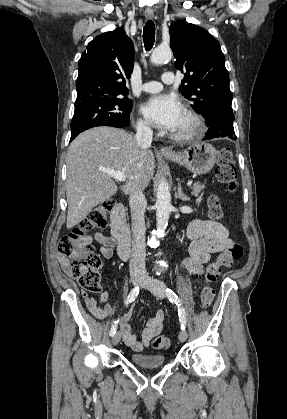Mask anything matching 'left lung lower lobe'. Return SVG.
<instances>
[{
    "mask_svg": "<svg viewBox=\"0 0 287 419\" xmlns=\"http://www.w3.org/2000/svg\"><path fill=\"white\" fill-rule=\"evenodd\" d=\"M235 117L231 106H224L218 109L210 122L207 123L209 127L203 140H209L218 137H229L236 140L233 129V121Z\"/></svg>",
    "mask_w": 287,
    "mask_h": 419,
    "instance_id": "left-lung-lower-lobe-1",
    "label": "left lung lower lobe"
}]
</instances>
